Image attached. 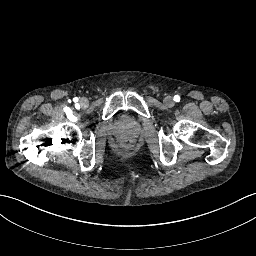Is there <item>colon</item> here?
I'll list each match as a JSON object with an SVG mask.
<instances>
[{"mask_svg": "<svg viewBox=\"0 0 256 256\" xmlns=\"http://www.w3.org/2000/svg\"><path fill=\"white\" fill-rule=\"evenodd\" d=\"M118 149H123L124 151H130L131 149L137 148V143L133 142L129 138H121L120 142L117 143Z\"/></svg>", "mask_w": 256, "mask_h": 256, "instance_id": "colon-1", "label": "colon"}]
</instances>
